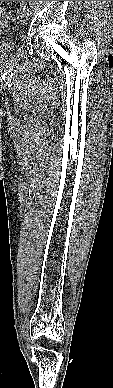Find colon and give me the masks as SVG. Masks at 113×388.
<instances>
[{
    "label": "colon",
    "instance_id": "colon-1",
    "mask_svg": "<svg viewBox=\"0 0 113 388\" xmlns=\"http://www.w3.org/2000/svg\"><path fill=\"white\" fill-rule=\"evenodd\" d=\"M9 21L14 19V14H8L6 17Z\"/></svg>",
    "mask_w": 113,
    "mask_h": 388
}]
</instances>
